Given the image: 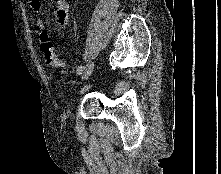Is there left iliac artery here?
I'll use <instances>...</instances> for the list:
<instances>
[{
    "label": "left iliac artery",
    "mask_w": 221,
    "mask_h": 174,
    "mask_svg": "<svg viewBox=\"0 0 221 174\" xmlns=\"http://www.w3.org/2000/svg\"><path fill=\"white\" fill-rule=\"evenodd\" d=\"M83 70H84V66H79V67L77 68V73H78V74H81V73L83 72Z\"/></svg>",
    "instance_id": "obj_1"
}]
</instances>
